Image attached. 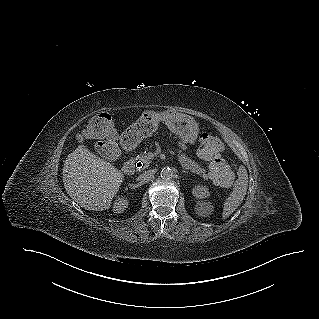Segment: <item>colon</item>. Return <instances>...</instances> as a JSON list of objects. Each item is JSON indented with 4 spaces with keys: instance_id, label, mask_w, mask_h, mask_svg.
<instances>
[{
    "instance_id": "1",
    "label": "colon",
    "mask_w": 319,
    "mask_h": 319,
    "mask_svg": "<svg viewBox=\"0 0 319 319\" xmlns=\"http://www.w3.org/2000/svg\"><path fill=\"white\" fill-rule=\"evenodd\" d=\"M85 139L92 138L101 143V151L109 161L118 157L117 132L111 118L106 113L98 114L91 121L83 134ZM223 144L221 140L212 134L201 136L200 153L202 157L210 162V173L213 180L220 185L230 184L233 175L227 165L221 159Z\"/></svg>"
}]
</instances>
